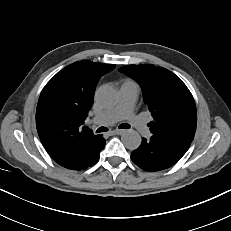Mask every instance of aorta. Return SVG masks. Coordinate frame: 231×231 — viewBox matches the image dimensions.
I'll return each mask as SVG.
<instances>
[{
	"instance_id": "obj_1",
	"label": "aorta",
	"mask_w": 231,
	"mask_h": 231,
	"mask_svg": "<svg viewBox=\"0 0 231 231\" xmlns=\"http://www.w3.org/2000/svg\"><path fill=\"white\" fill-rule=\"evenodd\" d=\"M95 99L101 106L110 107L117 103L118 94L114 87L104 85L97 89ZM121 139L125 147L130 150L137 149L142 141L139 133L134 130H127Z\"/></svg>"
}]
</instances>
